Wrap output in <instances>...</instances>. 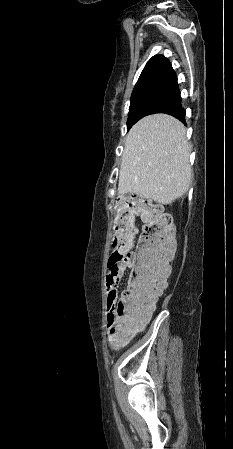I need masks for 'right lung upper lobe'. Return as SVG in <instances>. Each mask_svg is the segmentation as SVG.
Segmentation results:
<instances>
[{
  "label": "right lung upper lobe",
  "instance_id": "cb5924a9",
  "mask_svg": "<svg viewBox=\"0 0 233 449\" xmlns=\"http://www.w3.org/2000/svg\"><path fill=\"white\" fill-rule=\"evenodd\" d=\"M153 89L179 90L176 74L163 55H155L147 62L132 94Z\"/></svg>",
  "mask_w": 233,
  "mask_h": 449
}]
</instances>
